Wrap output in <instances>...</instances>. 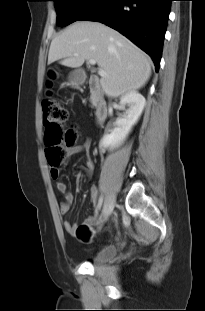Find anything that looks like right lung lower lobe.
<instances>
[{
  "instance_id": "obj_1",
  "label": "right lung lower lobe",
  "mask_w": 205,
  "mask_h": 311,
  "mask_svg": "<svg viewBox=\"0 0 205 311\" xmlns=\"http://www.w3.org/2000/svg\"><path fill=\"white\" fill-rule=\"evenodd\" d=\"M172 0H100L79 20L104 23L144 50L159 69Z\"/></svg>"
}]
</instances>
